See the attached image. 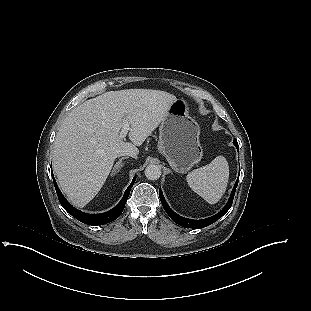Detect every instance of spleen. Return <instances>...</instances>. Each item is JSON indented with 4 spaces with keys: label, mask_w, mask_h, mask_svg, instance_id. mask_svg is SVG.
<instances>
[{
    "label": "spleen",
    "mask_w": 311,
    "mask_h": 311,
    "mask_svg": "<svg viewBox=\"0 0 311 311\" xmlns=\"http://www.w3.org/2000/svg\"><path fill=\"white\" fill-rule=\"evenodd\" d=\"M228 179L229 166L223 156H217L208 165L195 169L186 176L189 187L209 204H215L222 198Z\"/></svg>",
    "instance_id": "1"
}]
</instances>
